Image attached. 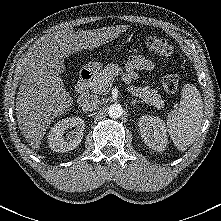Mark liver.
<instances>
[{"label":"liver","mask_w":221,"mask_h":221,"mask_svg":"<svg viewBox=\"0 0 221 221\" xmlns=\"http://www.w3.org/2000/svg\"><path fill=\"white\" fill-rule=\"evenodd\" d=\"M127 26L74 32L62 29L41 39L27 58L16 97L19 129L28 144L39 149L53 120L71 108L73 99L60 76L63 59L82 49H94L125 32Z\"/></svg>","instance_id":"obj_1"}]
</instances>
